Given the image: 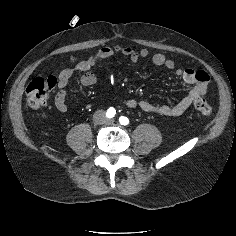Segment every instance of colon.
Wrapping results in <instances>:
<instances>
[{"label": "colon", "mask_w": 236, "mask_h": 236, "mask_svg": "<svg viewBox=\"0 0 236 236\" xmlns=\"http://www.w3.org/2000/svg\"><path fill=\"white\" fill-rule=\"evenodd\" d=\"M58 78L55 76H45L34 78L26 88L27 102L32 108H40L44 106L48 100L50 92L56 87ZM193 107L195 111L204 117H210L212 108L209 102L203 98H197Z\"/></svg>", "instance_id": "1"}]
</instances>
